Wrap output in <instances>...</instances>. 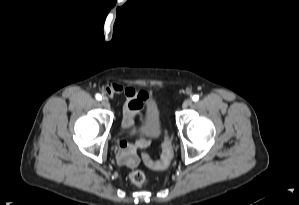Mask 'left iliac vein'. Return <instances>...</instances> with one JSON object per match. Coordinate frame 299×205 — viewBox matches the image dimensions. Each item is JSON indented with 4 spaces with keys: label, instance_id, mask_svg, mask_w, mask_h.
<instances>
[{
    "label": "left iliac vein",
    "instance_id": "left-iliac-vein-1",
    "mask_svg": "<svg viewBox=\"0 0 299 205\" xmlns=\"http://www.w3.org/2000/svg\"><path fill=\"white\" fill-rule=\"evenodd\" d=\"M191 105H192V99H190V98L186 99L182 104L183 108H187Z\"/></svg>",
    "mask_w": 299,
    "mask_h": 205
}]
</instances>
